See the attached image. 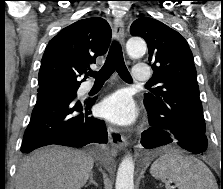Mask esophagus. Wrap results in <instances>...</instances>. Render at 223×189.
<instances>
[{"mask_svg": "<svg viewBox=\"0 0 223 189\" xmlns=\"http://www.w3.org/2000/svg\"><path fill=\"white\" fill-rule=\"evenodd\" d=\"M114 38L121 44L124 43V24L121 19L114 22L113 27ZM108 135L110 144L116 149H122L127 145L126 138L113 126L108 125Z\"/></svg>", "mask_w": 223, "mask_h": 189, "instance_id": "1", "label": "esophagus"}]
</instances>
